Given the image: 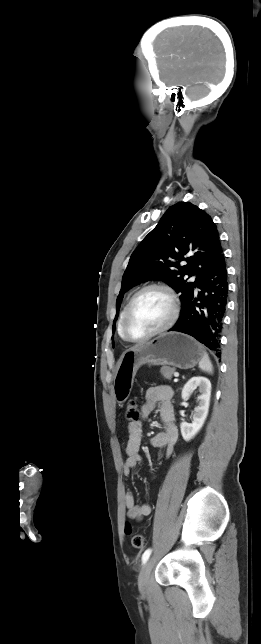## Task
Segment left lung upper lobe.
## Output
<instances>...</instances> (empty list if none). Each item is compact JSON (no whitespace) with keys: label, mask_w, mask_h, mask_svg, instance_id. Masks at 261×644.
Listing matches in <instances>:
<instances>
[{"label":"left lung upper lobe","mask_w":261,"mask_h":644,"mask_svg":"<svg viewBox=\"0 0 261 644\" xmlns=\"http://www.w3.org/2000/svg\"><path fill=\"white\" fill-rule=\"evenodd\" d=\"M222 252L216 225L205 211L189 202L171 206L133 252L122 278L117 311L128 289L145 280L161 279L181 293L182 312ZM183 260L187 265H180ZM185 275H196V279L187 282Z\"/></svg>","instance_id":"obj_1"}]
</instances>
